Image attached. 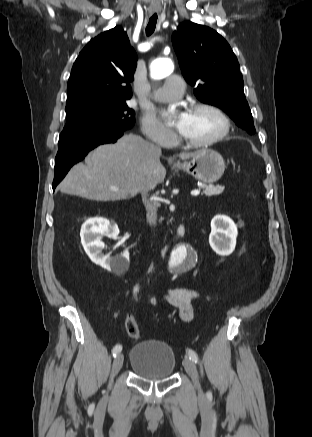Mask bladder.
<instances>
[{"mask_svg": "<svg viewBox=\"0 0 312 437\" xmlns=\"http://www.w3.org/2000/svg\"><path fill=\"white\" fill-rule=\"evenodd\" d=\"M129 363L137 376L156 381L173 374L176 358L173 349L165 341L145 340L131 348Z\"/></svg>", "mask_w": 312, "mask_h": 437, "instance_id": "bladder-1", "label": "bladder"}]
</instances>
